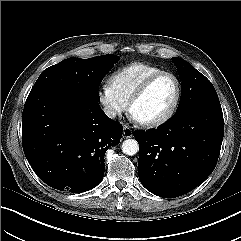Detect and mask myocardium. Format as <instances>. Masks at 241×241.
<instances>
[{"instance_id":"1","label":"myocardium","mask_w":241,"mask_h":241,"mask_svg":"<svg viewBox=\"0 0 241 241\" xmlns=\"http://www.w3.org/2000/svg\"><path fill=\"white\" fill-rule=\"evenodd\" d=\"M163 76H169L174 79L175 84H176V94L174 101L168 111L162 115L161 117L151 120V121H139L133 116V107L135 104L147 93V91L150 89V87L153 85V83L158 80L159 78ZM182 96V86L180 79L178 78L177 75L170 71H160L157 72L150 77H148L140 86L139 88L135 91V93L132 95L131 99L129 100V113L132 119L138 123L140 126L145 127V128H157L162 126L163 124L167 123L176 113L180 100Z\"/></svg>"}]
</instances>
